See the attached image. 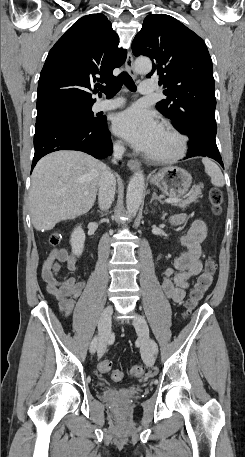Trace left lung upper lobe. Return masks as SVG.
<instances>
[{"mask_svg":"<svg viewBox=\"0 0 245 457\" xmlns=\"http://www.w3.org/2000/svg\"><path fill=\"white\" fill-rule=\"evenodd\" d=\"M135 56L145 55L153 63L151 73L167 88V99L156 108L177 126L201 112H215L212 61L204 41L175 18L150 14L132 43Z\"/></svg>","mask_w":245,"mask_h":457,"instance_id":"5c2ea615","label":"left lung upper lobe"}]
</instances>
